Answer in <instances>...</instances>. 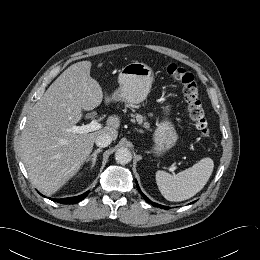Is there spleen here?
<instances>
[{"instance_id":"obj_1","label":"spleen","mask_w":260,"mask_h":260,"mask_svg":"<svg viewBox=\"0 0 260 260\" xmlns=\"http://www.w3.org/2000/svg\"><path fill=\"white\" fill-rule=\"evenodd\" d=\"M214 168L211 158H203L191 168L170 175L165 171L156 172V183L168 201H184L201 191L208 182Z\"/></svg>"}]
</instances>
